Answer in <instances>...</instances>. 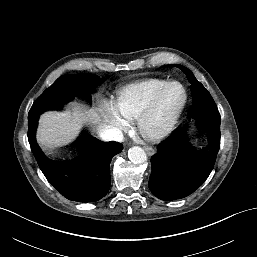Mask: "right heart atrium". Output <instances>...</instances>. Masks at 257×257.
Masks as SVG:
<instances>
[{
    "mask_svg": "<svg viewBox=\"0 0 257 257\" xmlns=\"http://www.w3.org/2000/svg\"><path fill=\"white\" fill-rule=\"evenodd\" d=\"M104 111L105 122L112 134L116 135L128 128V120L119 112L115 104L107 102L104 105Z\"/></svg>",
    "mask_w": 257,
    "mask_h": 257,
    "instance_id": "right-heart-atrium-1",
    "label": "right heart atrium"
}]
</instances>
